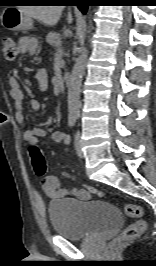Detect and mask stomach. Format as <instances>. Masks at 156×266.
I'll return each instance as SVG.
<instances>
[{
  "label": "stomach",
  "instance_id": "0dacf381",
  "mask_svg": "<svg viewBox=\"0 0 156 266\" xmlns=\"http://www.w3.org/2000/svg\"><path fill=\"white\" fill-rule=\"evenodd\" d=\"M2 20L8 29L14 31H25L33 27L32 20L20 9H7Z\"/></svg>",
  "mask_w": 156,
  "mask_h": 266
}]
</instances>
